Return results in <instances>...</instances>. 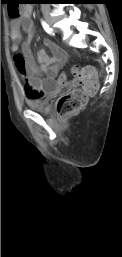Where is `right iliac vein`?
<instances>
[{
	"label": "right iliac vein",
	"instance_id": "63e3f726",
	"mask_svg": "<svg viewBox=\"0 0 122 257\" xmlns=\"http://www.w3.org/2000/svg\"><path fill=\"white\" fill-rule=\"evenodd\" d=\"M46 21L49 25H53V20L50 17H46Z\"/></svg>",
	"mask_w": 122,
	"mask_h": 257
}]
</instances>
